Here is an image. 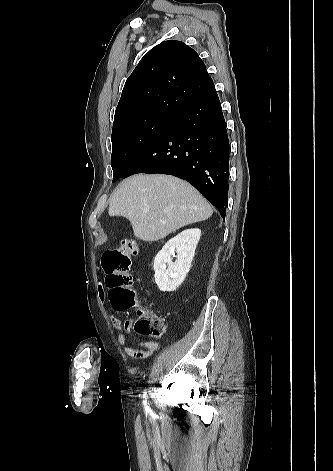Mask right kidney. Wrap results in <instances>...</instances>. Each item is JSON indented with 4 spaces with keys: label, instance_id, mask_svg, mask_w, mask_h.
Here are the masks:
<instances>
[{
    "label": "right kidney",
    "instance_id": "1",
    "mask_svg": "<svg viewBox=\"0 0 333 471\" xmlns=\"http://www.w3.org/2000/svg\"><path fill=\"white\" fill-rule=\"evenodd\" d=\"M201 236L198 228L187 229L170 239L154 259L155 282L160 291H175L190 270ZM176 252V260L171 256Z\"/></svg>",
    "mask_w": 333,
    "mask_h": 471
}]
</instances>
